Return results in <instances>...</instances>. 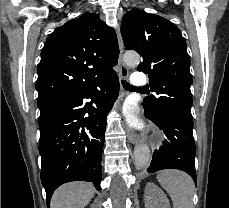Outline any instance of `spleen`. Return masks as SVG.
<instances>
[{
	"instance_id": "3e777b00",
	"label": "spleen",
	"mask_w": 229,
	"mask_h": 208,
	"mask_svg": "<svg viewBox=\"0 0 229 208\" xmlns=\"http://www.w3.org/2000/svg\"><path fill=\"white\" fill-rule=\"evenodd\" d=\"M157 180L169 194L173 208H194V182L188 174L179 170H163L159 172Z\"/></svg>"
}]
</instances>
